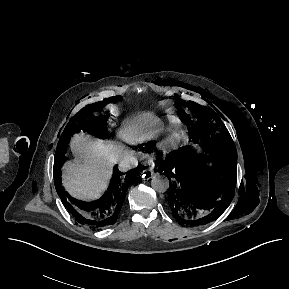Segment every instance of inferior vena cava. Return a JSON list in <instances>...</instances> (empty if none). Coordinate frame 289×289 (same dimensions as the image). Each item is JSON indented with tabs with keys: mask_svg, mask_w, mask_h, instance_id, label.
I'll return each instance as SVG.
<instances>
[{
	"mask_svg": "<svg viewBox=\"0 0 289 289\" xmlns=\"http://www.w3.org/2000/svg\"><path fill=\"white\" fill-rule=\"evenodd\" d=\"M136 167V163L134 161H128L124 164V166L121 168L123 171H127L131 168Z\"/></svg>",
	"mask_w": 289,
	"mask_h": 289,
	"instance_id": "inferior-vena-cava-1",
	"label": "inferior vena cava"
}]
</instances>
